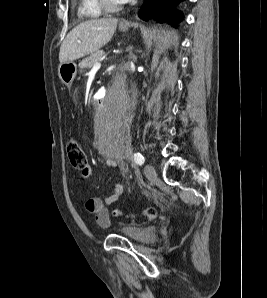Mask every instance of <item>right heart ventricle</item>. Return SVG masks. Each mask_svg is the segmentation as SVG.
Here are the masks:
<instances>
[{
    "label": "right heart ventricle",
    "mask_w": 267,
    "mask_h": 298,
    "mask_svg": "<svg viewBox=\"0 0 267 298\" xmlns=\"http://www.w3.org/2000/svg\"><path fill=\"white\" fill-rule=\"evenodd\" d=\"M77 13L83 19H97L102 17L103 10L98 0H79Z\"/></svg>",
    "instance_id": "right-heart-ventricle-1"
}]
</instances>
